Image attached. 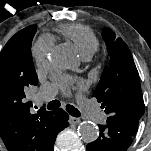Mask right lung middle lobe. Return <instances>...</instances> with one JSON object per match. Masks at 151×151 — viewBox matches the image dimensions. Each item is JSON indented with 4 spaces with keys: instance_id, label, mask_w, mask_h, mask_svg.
<instances>
[{
    "instance_id": "1",
    "label": "right lung middle lobe",
    "mask_w": 151,
    "mask_h": 151,
    "mask_svg": "<svg viewBox=\"0 0 151 151\" xmlns=\"http://www.w3.org/2000/svg\"><path fill=\"white\" fill-rule=\"evenodd\" d=\"M36 30V25L28 26L7 42L0 54V77L22 85L36 74L31 56V42Z\"/></svg>"
}]
</instances>
